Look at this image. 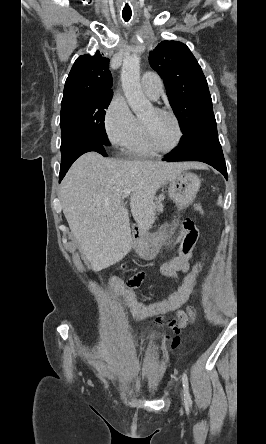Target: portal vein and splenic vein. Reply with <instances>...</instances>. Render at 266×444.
Listing matches in <instances>:
<instances>
[{
	"label": "portal vein and splenic vein",
	"mask_w": 266,
	"mask_h": 444,
	"mask_svg": "<svg viewBox=\"0 0 266 444\" xmlns=\"http://www.w3.org/2000/svg\"><path fill=\"white\" fill-rule=\"evenodd\" d=\"M123 193H124L125 197H128L130 195V193H131V190L130 189H124Z\"/></svg>",
	"instance_id": "18ae733b"
}]
</instances>
